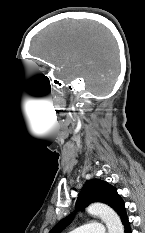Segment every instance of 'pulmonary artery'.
<instances>
[{
	"label": "pulmonary artery",
	"mask_w": 145,
	"mask_h": 233,
	"mask_svg": "<svg viewBox=\"0 0 145 233\" xmlns=\"http://www.w3.org/2000/svg\"><path fill=\"white\" fill-rule=\"evenodd\" d=\"M104 228L100 223H87L81 227L74 228L69 233H104Z\"/></svg>",
	"instance_id": "1"
}]
</instances>
